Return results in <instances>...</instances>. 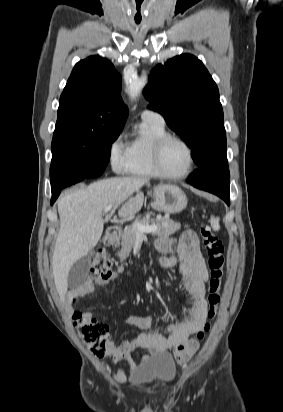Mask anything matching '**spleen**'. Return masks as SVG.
<instances>
[{
	"label": "spleen",
	"instance_id": "1",
	"mask_svg": "<svg viewBox=\"0 0 283 412\" xmlns=\"http://www.w3.org/2000/svg\"><path fill=\"white\" fill-rule=\"evenodd\" d=\"M211 227L214 231H218L220 229L219 220L214 216L211 217Z\"/></svg>",
	"mask_w": 283,
	"mask_h": 412
}]
</instances>
